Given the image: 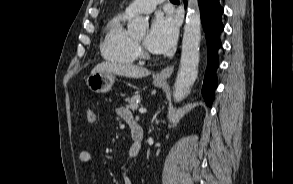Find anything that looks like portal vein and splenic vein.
Instances as JSON below:
<instances>
[{
    "label": "portal vein and splenic vein",
    "mask_w": 293,
    "mask_h": 184,
    "mask_svg": "<svg viewBox=\"0 0 293 184\" xmlns=\"http://www.w3.org/2000/svg\"><path fill=\"white\" fill-rule=\"evenodd\" d=\"M146 111H147V110H146L145 108H140V109H139V113H141V114L146 113Z\"/></svg>",
    "instance_id": "1"
}]
</instances>
